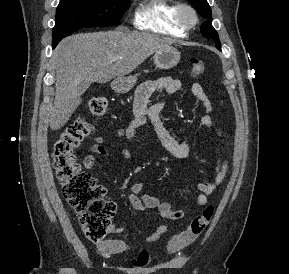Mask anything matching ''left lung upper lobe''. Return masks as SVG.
Here are the masks:
<instances>
[{"mask_svg":"<svg viewBox=\"0 0 289 274\" xmlns=\"http://www.w3.org/2000/svg\"><path fill=\"white\" fill-rule=\"evenodd\" d=\"M196 9V11L207 21L201 26V33L207 39H212L216 42V47L221 50V43L216 30L212 27L211 8L207 0H187Z\"/></svg>","mask_w":289,"mask_h":274,"instance_id":"5c2ea615","label":"left lung upper lobe"}]
</instances>
